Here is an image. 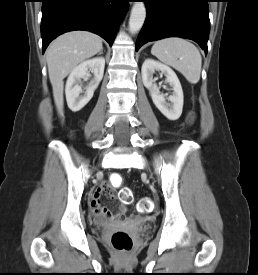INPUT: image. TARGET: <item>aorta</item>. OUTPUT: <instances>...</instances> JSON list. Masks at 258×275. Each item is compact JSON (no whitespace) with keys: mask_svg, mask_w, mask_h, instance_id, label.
<instances>
[{"mask_svg":"<svg viewBox=\"0 0 258 275\" xmlns=\"http://www.w3.org/2000/svg\"><path fill=\"white\" fill-rule=\"evenodd\" d=\"M145 18V4L143 2H135L129 18V30L132 34L137 33L142 28Z\"/></svg>","mask_w":258,"mask_h":275,"instance_id":"obj_1","label":"aorta"}]
</instances>
